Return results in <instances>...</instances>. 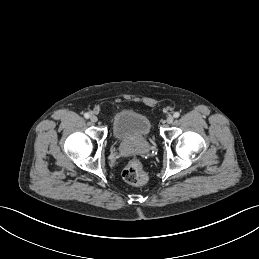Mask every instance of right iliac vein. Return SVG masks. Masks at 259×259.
I'll return each mask as SVG.
<instances>
[{
    "label": "right iliac vein",
    "instance_id": "obj_1",
    "mask_svg": "<svg viewBox=\"0 0 259 259\" xmlns=\"http://www.w3.org/2000/svg\"><path fill=\"white\" fill-rule=\"evenodd\" d=\"M90 120H91L92 122H97V121H98V118H97L96 115L92 114V115L90 116Z\"/></svg>",
    "mask_w": 259,
    "mask_h": 259
}]
</instances>
